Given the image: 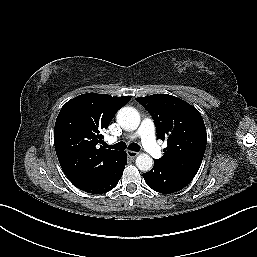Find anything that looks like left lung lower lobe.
<instances>
[{
  "label": "left lung lower lobe",
  "mask_w": 257,
  "mask_h": 257,
  "mask_svg": "<svg viewBox=\"0 0 257 257\" xmlns=\"http://www.w3.org/2000/svg\"><path fill=\"white\" fill-rule=\"evenodd\" d=\"M197 172L183 167L154 160L153 168L143 174L147 185L153 190L169 194L186 187Z\"/></svg>",
  "instance_id": "left-lung-lower-lobe-1"
}]
</instances>
